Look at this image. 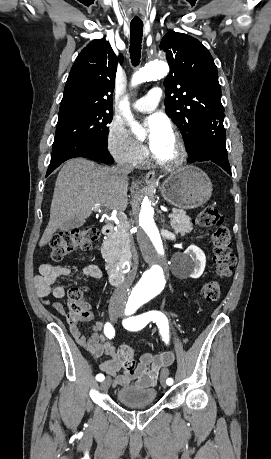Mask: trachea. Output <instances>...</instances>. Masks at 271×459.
I'll list each match as a JSON object with an SVG mask.
<instances>
[{
  "mask_svg": "<svg viewBox=\"0 0 271 459\" xmlns=\"http://www.w3.org/2000/svg\"><path fill=\"white\" fill-rule=\"evenodd\" d=\"M143 24L130 25V58L133 66H137L141 58Z\"/></svg>",
  "mask_w": 271,
  "mask_h": 459,
  "instance_id": "obj_1",
  "label": "trachea"
}]
</instances>
